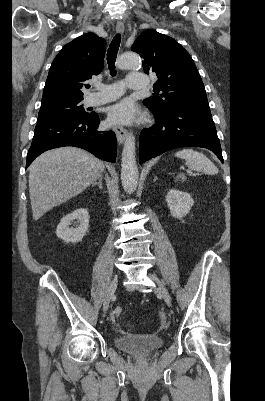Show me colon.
Segmentation results:
<instances>
[{"label":"colon","instance_id":"obj_1","mask_svg":"<svg viewBox=\"0 0 265 401\" xmlns=\"http://www.w3.org/2000/svg\"><path fill=\"white\" fill-rule=\"evenodd\" d=\"M122 313H123L122 307H116L112 312V320H115L116 318L120 317Z\"/></svg>","mask_w":265,"mask_h":401}]
</instances>
